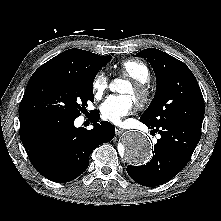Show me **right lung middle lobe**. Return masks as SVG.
I'll return each instance as SVG.
<instances>
[{
	"label": "right lung middle lobe",
	"instance_id": "right-lung-middle-lobe-1",
	"mask_svg": "<svg viewBox=\"0 0 221 221\" xmlns=\"http://www.w3.org/2000/svg\"><path fill=\"white\" fill-rule=\"evenodd\" d=\"M111 58V55L103 56L85 74L46 72L31 77L20 103L19 113H48L76 119L86 111L87 102L94 101V78Z\"/></svg>",
	"mask_w": 221,
	"mask_h": 221
}]
</instances>
